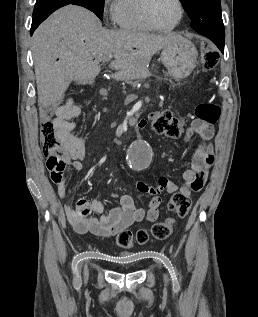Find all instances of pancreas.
<instances>
[{"mask_svg":"<svg viewBox=\"0 0 258 317\" xmlns=\"http://www.w3.org/2000/svg\"><path fill=\"white\" fill-rule=\"evenodd\" d=\"M138 83H144V78H138Z\"/></svg>","mask_w":258,"mask_h":317,"instance_id":"pancreas-1","label":"pancreas"}]
</instances>
